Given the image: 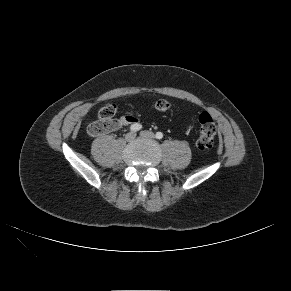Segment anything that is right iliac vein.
Masks as SVG:
<instances>
[{"instance_id": "obj_1", "label": "right iliac vein", "mask_w": 291, "mask_h": 291, "mask_svg": "<svg viewBox=\"0 0 291 291\" xmlns=\"http://www.w3.org/2000/svg\"><path fill=\"white\" fill-rule=\"evenodd\" d=\"M136 137V134L134 132H129L125 135V140L130 142L132 140H134Z\"/></svg>"}]
</instances>
